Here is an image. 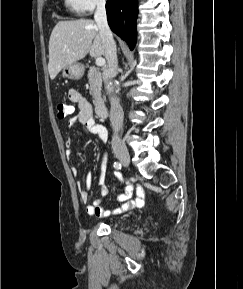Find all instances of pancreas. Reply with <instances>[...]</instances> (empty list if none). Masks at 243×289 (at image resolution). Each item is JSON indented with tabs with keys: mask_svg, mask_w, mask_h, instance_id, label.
I'll return each mask as SVG.
<instances>
[{
	"mask_svg": "<svg viewBox=\"0 0 243 289\" xmlns=\"http://www.w3.org/2000/svg\"><path fill=\"white\" fill-rule=\"evenodd\" d=\"M88 81L90 84V95L93 103H98L101 99L102 76L101 72L96 67H90L88 71Z\"/></svg>",
	"mask_w": 243,
	"mask_h": 289,
	"instance_id": "pancreas-1",
	"label": "pancreas"
}]
</instances>
